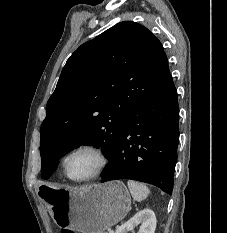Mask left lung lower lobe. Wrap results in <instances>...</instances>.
Returning a JSON list of instances; mask_svg holds the SVG:
<instances>
[{
	"instance_id": "0a47b994",
	"label": "left lung lower lobe",
	"mask_w": 227,
	"mask_h": 233,
	"mask_svg": "<svg viewBox=\"0 0 227 233\" xmlns=\"http://www.w3.org/2000/svg\"><path fill=\"white\" fill-rule=\"evenodd\" d=\"M178 141V98L169 75L154 95L133 109L102 182L137 180L172 194Z\"/></svg>"
}]
</instances>
